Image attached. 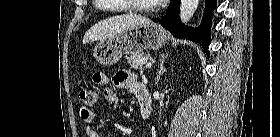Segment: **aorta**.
I'll return each instance as SVG.
<instances>
[{"mask_svg": "<svg viewBox=\"0 0 280 137\" xmlns=\"http://www.w3.org/2000/svg\"><path fill=\"white\" fill-rule=\"evenodd\" d=\"M199 4V0H182L180 4V18L183 23H187L194 15Z\"/></svg>", "mask_w": 280, "mask_h": 137, "instance_id": "aorta-1", "label": "aorta"}]
</instances>
